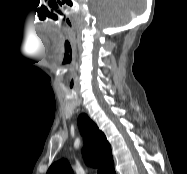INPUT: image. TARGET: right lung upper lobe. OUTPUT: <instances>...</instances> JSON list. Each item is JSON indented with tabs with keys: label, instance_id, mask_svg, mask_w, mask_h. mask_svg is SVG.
<instances>
[{
	"label": "right lung upper lobe",
	"instance_id": "cb5924a9",
	"mask_svg": "<svg viewBox=\"0 0 187 174\" xmlns=\"http://www.w3.org/2000/svg\"><path fill=\"white\" fill-rule=\"evenodd\" d=\"M79 128L84 138L85 162L94 167L102 166L105 174H115L111 147L105 135L92 121L88 127ZM47 174H73V171L66 160H59L50 166Z\"/></svg>",
	"mask_w": 187,
	"mask_h": 174
}]
</instances>
